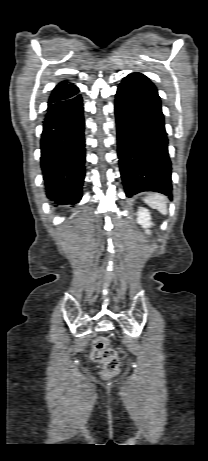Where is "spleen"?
Wrapping results in <instances>:
<instances>
[{"label":"spleen","instance_id":"obj_1","mask_svg":"<svg viewBox=\"0 0 208 461\" xmlns=\"http://www.w3.org/2000/svg\"><path fill=\"white\" fill-rule=\"evenodd\" d=\"M143 200L151 208L158 210L161 214H167V201L164 195L159 193H153L149 194Z\"/></svg>","mask_w":208,"mask_h":461}]
</instances>
